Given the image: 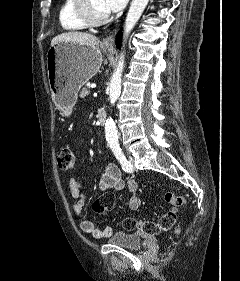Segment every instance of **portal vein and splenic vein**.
Masks as SVG:
<instances>
[{"label": "portal vein and splenic vein", "mask_w": 240, "mask_h": 281, "mask_svg": "<svg viewBox=\"0 0 240 281\" xmlns=\"http://www.w3.org/2000/svg\"><path fill=\"white\" fill-rule=\"evenodd\" d=\"M95 87H96V85H95V84H92V85H91V88H95Z\"/></svg>", "instance_id": "18ae733b"}]
</instances>
